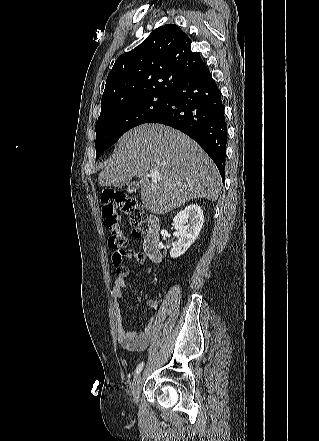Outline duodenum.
<instances>
[{"instance_id":"1","label":"duodenum","mask_w":319,"mask_h":441,"mask_svg":"<svg viewBox=\"0 0 319 441\" xmlns=\"http://www.w3.org/2000/svg\"><path fill=\"white\" fill-rule=\"evenodd\" d=\"M159 229V220L155 216H149L148 230L144 239L143 247L146 255L154 262H159L162 259L161 250L159 248Z\"/></svg>"}]
</instances>
